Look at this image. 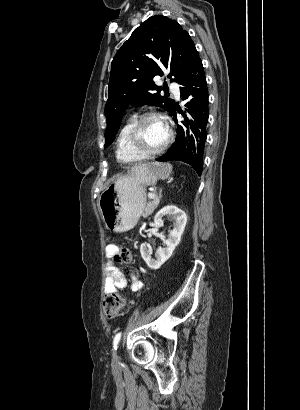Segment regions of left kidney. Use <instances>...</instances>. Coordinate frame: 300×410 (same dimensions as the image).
I'll use <instances>...</instances> for the list:
<instances>
[{
    "label": "left kidney",
    "mask_w": 300,
    "mask_h": 410,
    "mask_svg": "<svg viewBox=\"0 0 300 410\" xmlns=\"http://www.w3.org/2000/svg\"><path fill=\"white\" fill-rule=\"evenodd\" d=\"M170 217L173 219L174 227L169 231V236L164 239V247H159L155 253V258L151 257L152 251L146 243L141 244L140 252L143 260L149 268L159 269L173 254L176 246L180 243L181 236L184 232L187 215L186 213L174 205H168L162 208L154 217V224L156 226L163 225V217Z\"/></svg>",
    "instance_id": "5707ae66"
}]
</instances>
